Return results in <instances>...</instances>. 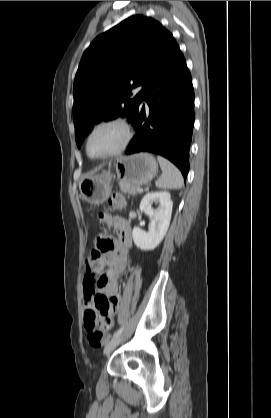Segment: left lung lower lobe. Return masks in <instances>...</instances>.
<instances>
[{"mask_svg": "<svg viewBox=\"0 0 271 418\" xmlns=\"http://www.w3.org/2000/svg\"><path fill=\"white\" fill-rule=\"evenodd\" d=\"M143 99L149 106L147 117ZM131 122L136 135L126 154L151 152L162 155L186 178L194 126V90L191 74L175 39L145 86Z\"/></svg>", "mask_w": 271, "mask_h": 418, "instance_id": "0a47b994", "label": "left lung lower lobe"}]
</instances>
